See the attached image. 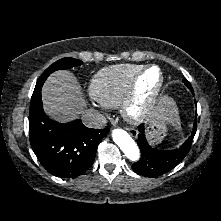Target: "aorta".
I'll list each match as a JSON object with an SVG mask.
<instances>
[{"label": "aorta", "mask_w": 221, "mask_h": 221, "mask_svg": "<svg viewBox=\"0 0 221 221\" xmlns=\"http://www.w3.org/2000/svg\"><path fill=\"white\" fill-rule=\"evenodd\" d=\"M112 138L129 160H139V148L132 137L125 130L119 128L114 129L112 132Z\"/></svg>", "instance_id": "obj_1"}]
</instances>
